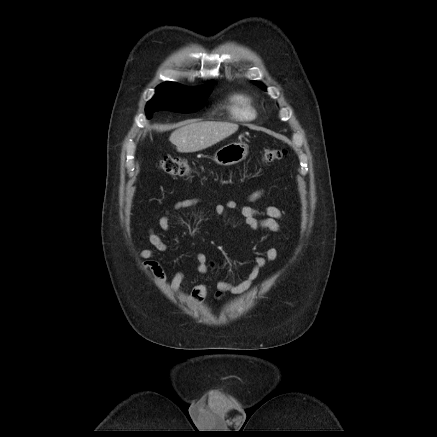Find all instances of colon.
Masks as SVG:
<instances>
[{
    "instance_id": "1",
    "label": "colon",
    "mask_w": 437,
    "mask_h": 437,
    "mask_svg": "<svg viewBox=\"0 0 437 437\" xmlns=\"http://www.w3.org/2000/svg\"><path fill=\"white\" fill-rule=\"evenodd\" d=\"M284 155L285 151L278 148H264L262 151V159L267 163L280 160ZM158 167L162 172L173 176H187L192 172L187 160L174 156L161 159Z\"/></svg>"
}]
</instances>
